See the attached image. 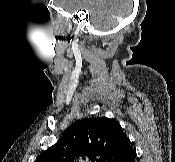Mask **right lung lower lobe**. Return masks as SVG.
Here are the masks:
<instances>
[{"instance_id": "98d812e1", "label": "right lung lower lobe", "mask_w": 175, "mask_h": 162, "mask_svg": "<svg viewBox=\"0 0 175 162\" xmlns=\"http://www.w3.org/2000/svg\"><path fill=\"white\" fill-rule=\"evenodd\" d=\"M136 152L130 147L128 150L117 156L112 162H135Z\"/></svg>"}]
</instances>
